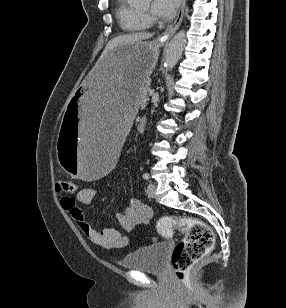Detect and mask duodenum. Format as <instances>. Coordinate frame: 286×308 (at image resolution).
I'll return each instance as SVG.
<instances>
[{"instance_id": "410a0bca", "label": "duodenum", "mask_w": 286, "mask_h": 308, "mask_svg": "<svg viewBox=\"0 0 286 308\" xmlns=\"http://www.w3.org/2000/svg\"><path fill=\"white\" fill-rule=\"evenodd\" d=\"M146 120L145 119H141L140 122H139V127H142L143 124H145Z\"/></svg>"}]
</instances>
